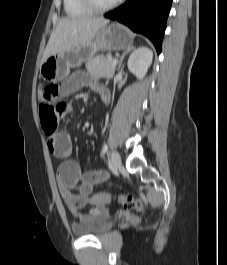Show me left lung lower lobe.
I'll use <instances>...</instances> for the list:
<instances>
[{
	"label": "left lung lower lobe",
	"instance_id": "obj_1",
	"mask_svg": "<svg viewBox=\"0 0 227 265\" xmlns=\"http://www.w3.org/2000/svg\"><path fill=\"white\" fill-rule=\"evenodd\" d=\"M171 4L172 0H127L119 8L106 13L105 17L148 37L160 54Z\"/></svg>",
	"mask_w": 227,
	"mask_h": 265
}]
</instances>
